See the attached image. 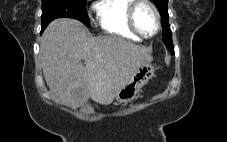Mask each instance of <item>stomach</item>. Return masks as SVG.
Here are the masks:
<instances>
[{
	"mask_svg": "<svg viewBox=\"0 0 227 142\" xmlns=\"http://www.w3.org/2000/svg\"><path fill=\"white\" fill-rule=\"evenodd\" d=\"M154 76V67L148 63L140 66L127 84L117 93L116 101L120 104L131 102L140 89Z\"/></svg>",
	"mask_w": 227,
	"mask_h": 142,
	"instance_id": "1",
	"label": "stomach"
}]
</instances>
